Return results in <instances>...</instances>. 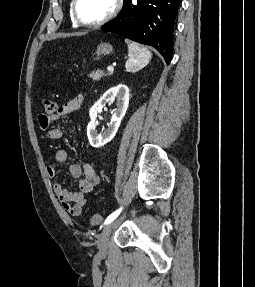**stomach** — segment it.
Listing matches in <instances>:
<instances>
[{
  "mask_svg": "<svg viewBox=\"0 0 255 287\" xmlns=\"http://www.w3.org/2000/svg\"><path fill=\"white\" fill-rule=\"evenodd\" d=\"M112 50L113 46L111 44H98L95 54L97 56H107V54H111Z\"/></svg>",
  "mask_w": 255,
  "mask_h": 287,
  "instance_id": "obj_1",
  "label": "stomach"
}]
</instances>
